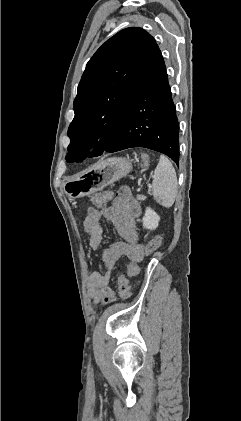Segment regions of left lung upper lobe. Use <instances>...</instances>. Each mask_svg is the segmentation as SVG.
I'll use <instances>...</instances> for the list:
<instances>
[{"instance_id":"left-lung-upper-lobe-1","label":"left lung upper lobe","mask_w":241,"mask_h":421,"mask_svg":"<svg viewBox=\"0 0 241 421\" xmlns=\"http://www.w3.org/2000/svg\"><path fill=\"white\" fill-rule=\"evenodd\" d=\"M156 46L144 29L130 27L108 39L86 65L68 128L67 161L108 151L118 137L146 63Z\"/></svg>"}]
</instances>
